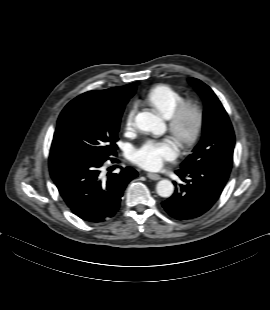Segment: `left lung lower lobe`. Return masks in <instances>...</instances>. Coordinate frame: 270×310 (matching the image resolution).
I'll return each mask as SVG.
<instances>
[{
    "mask_svg": "<svg viewBox=\"0 0 270 310\" xmlns=\"http://www.w3.org/2000/svg\"><path fill=\"white\" fill-rule=\"evenodd\" d=\"M175 173L183 184H179L174 194L162 205L177 220L194 219L209 211L229 178V173L202 166L180 168Z\"/></svg>",
    "mask_w": 270,
    "mask_h": 310,
    "instance_id": "left-lung-lower-lobe-1",
    "label": "left lung lower lobe"
}]
</instances>
